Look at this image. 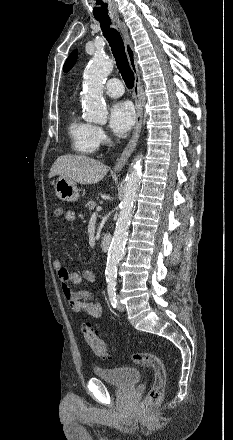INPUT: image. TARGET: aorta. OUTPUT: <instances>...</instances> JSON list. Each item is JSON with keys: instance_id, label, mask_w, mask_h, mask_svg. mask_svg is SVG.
Listing matches in <instances>:
<instances>
[{"instance_id": "762f6f07", "label": "aorta", "mask_w": 233, "mask_h": 440, "mask_svg": "<svg viewBox=\"0 0 233 440\" xmlns=\"http://www.w3.org/2000/svg\"><path fill=\"white\" fill-rule=\"evenodd\" d=\"M112 69V60L100 53L93 57L87 68L83 101L84 117L89 122L104 124L107 121L108 109L103 99V87ZM141 175L142 160L141 158H136L126 176L124 197L120 203L119 217L108 250L105 271L107 280H115L117 264L124 255L128 229L140 187Z\"/></svg>"}]
</instances>
